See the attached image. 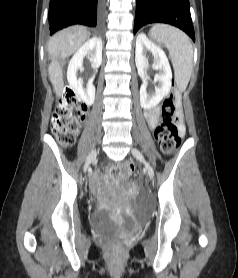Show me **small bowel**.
Instances as JSON below:
<instances>
[{
	"instance_id": "obj_1",
	"label": "small bowel",
	"mask_w": 238,
	"mask_h": 278,
	"mask_svg": "<svg viewBox=\"0 0 238 278\" xmlns=\"http://www.w3.org/2000/svg\"><path fill=\"white\" fill-rule=\"evenodd\" d=\"M159 115L160 112L158 108H152L146 112V118L150 127L152 128L156 127L159 120ZM180 130L182 131L181 126H180Z\"/></svg>"
}]
</instances>
